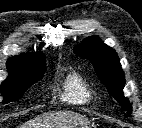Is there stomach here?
Returning a JSON list of instances; mask_svg holds the SVG:
<instances>
[{
    "label": "stomach",
    "mask_w": 142,
    "mask_h": 128,
    "mask_svg": "<svg viewBox=\"0 0 142 128\" xmlns=\"http://www.w3.org/2000/svg\"><path fill=\"white\" fill-rule=\"evenodd\" d=\"M92 126L90 125L89 122H83L78 124L75 128H91Z\"/></svg>",
    "instance_id": "0dacf381"
}]
</instances>
